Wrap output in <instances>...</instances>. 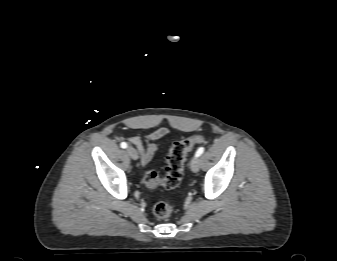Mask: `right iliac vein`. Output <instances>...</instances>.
I'll return each instance as SVG.
<instances>
[{"mask_svg": "<svg viewBox=\"0 0 337 261\" xmlns=\"http://www.w3.org/2000/svg\"><path fill=\"white\" fill-rule=\"evenodd\" d=\"M127 154L133 159L137 160L138 159V153L133 147H127Z\"/></svg>", "mask_w": 337, "mask_h": 261, "instance_id": "63e3f726", "label": "right iliac vein"}]
</instances>
